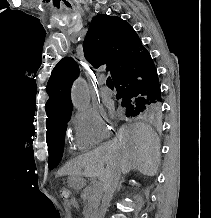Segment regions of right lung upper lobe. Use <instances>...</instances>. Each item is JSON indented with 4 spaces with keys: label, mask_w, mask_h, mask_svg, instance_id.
<instances>
[{
    "label": "right lung upper lobe",
    "mask_w": 211,
    "mask_h": 218,
    "mask_svg": "<svg viewBox=\"0 0 211 218\" xmlns=\"http://www.w3.org/2000/svg\"><path fill=\"white\" fill-rule=\"evenodd\" d=\"M86 59L95 67L107 64L114 78L124 66L146 51L135 30L123 19L108 15L95 16L83 43ZM79 75L73 58H63L53 69L47 84V134L62 117L71 113V86Z\"/></svg>",
    "instance_id": "1"
}]
</instances>
